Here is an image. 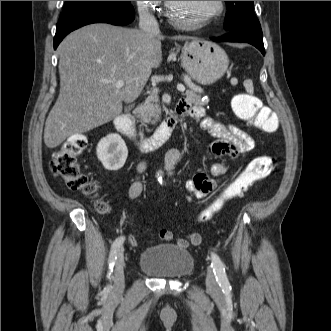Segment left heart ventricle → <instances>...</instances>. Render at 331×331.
I'll use <instances>...</instances> for the list:
<instances>
[{
  "label": "left heart ventricle",
  "instance_id": "1",
  "mask_svg": "<svg viewBox=\"0 0 331 331\" xmlns=\"http://www.w3.org/2000/svg\"><path fill=\"white\" fill-rule=\"evenodd\" d=\"M173 16L181 22H197L215 9V1H172Z\"/></svg>",
  "mask_w": 331,
  "mask_h": 331
}]
</instances>
